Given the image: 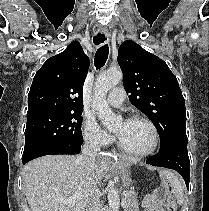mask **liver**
Masks as SVG:
<instances>
[{
  "instance_id": "liver-1",
  "label": "liver",
  "mask_w": 209,
  "mask_h": 211,
  "mask_svg": "<svg viewBox=\"0 0 209 211\" xmlns=\"http://www.w3.org/2000/svg\"><path fill=\"white\" fill-rule=\"evenodd\" d=\"M122 162L136 161L123 156ZM112 163L109 157L95 163L92 175L73 155H50L30 161L23 169L25 195L31 211H85L93 187L98 185ZM74 195L83 197L73 205L61 203Z\"/></svg>"
}]
</instances>
